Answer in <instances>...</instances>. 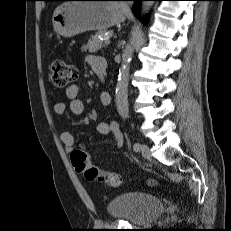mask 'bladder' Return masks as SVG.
<instances>
[{
	"instance_id": "1",
	"label": "bladder",
	"mask_w": 231,
	"mask_h": 231,
	"mask_svg": "<svg viewBox=\"0 0 231 231\" xmlns=\"http://www.w3.org/2000/svg\"><path fill=\"white\" fill-rule=\"evenodd\" d=\"M112 218L123 219L130 224L146 225L153 223L164 211V203L148 193H125L112 199L106 205Z\"/></svg>"
}]
</instances>
